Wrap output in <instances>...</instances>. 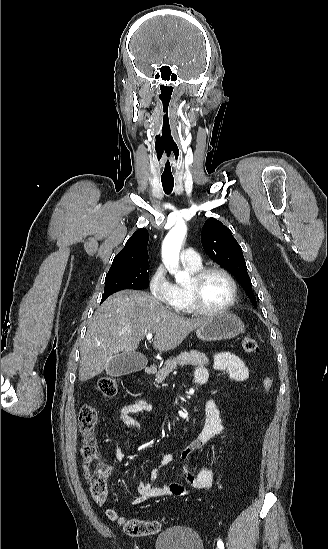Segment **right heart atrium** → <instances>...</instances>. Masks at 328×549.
<instances>
[{
    "instance_id": "d8ad5b80",
    "label": "right heart atrium",
    "mask_w": 328,
    "mask_h": 549,
    "mask_svg": "<svg viewBox=\"0 0 328 549\" xmlns=\"http://www.w3.org/2000/svg\"><path fill=\"white\" fill-rule=\"evenodd\" d=\"M172 283L163 263L156 264L148 278L149 303H164L169 296Z\"/></svg>"
}]
</instances>
